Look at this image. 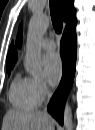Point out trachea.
Segmentation results:
<instances>
[{
    "label": "trachea",
    "instance_id": "trachea-1",
    "mask_svg": "<svg viewBox=\"0 0 95 130\" xmlns=\"http://www.w3.org/2000/svg\"><path fill=\"white\" fill-rule=\"evenodd\" d=\"M50 14L56 33L62 32L63 21L62 14L57 0H50Z\"/></svg>",
    "mask_w": 95,
    "mask_h": 130
}]
</instances>
